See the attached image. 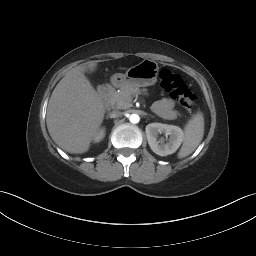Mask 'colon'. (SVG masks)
Segmentation results:
<instances>
[{
	"instance_id": "5ec220e1",
	"label": "colon",
	"mask_w": 256,
	"mask_h": 256,
	"mask_svg": "<svg viewBox=\"0 0 256 256\" xmlns=\"http://www.w3.org/2000/svg\"><path fill=\"white\" fill-rule=\"evenodd\" d=\"M161 88L186 109H191L196 103L195 95L189 90L181 77L164 68L159 72Z\"/></svg>"
}]
</instances>
